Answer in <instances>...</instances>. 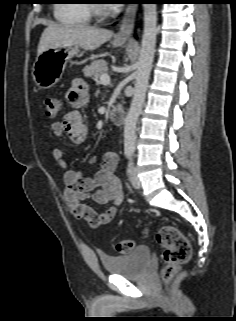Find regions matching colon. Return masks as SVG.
Returning <instances> with one entry per match:
<instances>
[{
	"instance_id": "obj_1",
	"label": "colon",
	"mask_w": 236,
	"mask_h": 321,
	"mask_svg": "<svg viewBox=\"0 0 236 321\" xmlns=\"http://www.w3.org/2000/svg\"><path fill=\"white\" fill-rule=\"evenodd\" d=\"M45 113L54 118L59 114L60 102L49 96L44 99ZM156 242L163 248L164 267L162 275L165 280L172 279L191 256V245L180 230L172 225L159 228L155 235ZM133 249L131 240H122L116 244V250L121 254H128Z\"/></svg>"
}]
</instances>
